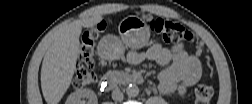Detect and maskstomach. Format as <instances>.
I'll use <instances>...</instances> for the list:
<instances>
[{"label": "stomach", "mask_w": 252, "mask_h": 104, "mask_svg": "<svg viewBox=\"0 0 252 104\" xmlns=\"http://www.w3.org/2000/svg\"><path fill=\"white\" fill-rule=\"evenodd\" d=\"M118 32L120 38L107 35L99 44L102 55L107 59H120L126 48H143L150 38V29L146 21L134 15L127 16L120 21Z\"/></svg>", "instance_id": "stomach-1"}]
</instances>
